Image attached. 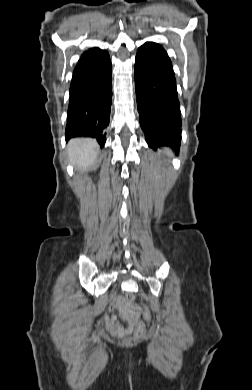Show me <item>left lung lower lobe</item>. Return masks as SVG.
I'll use <instances>...</instances> for the list:
<instances>
[{"mask_svg":"<svg viewBox=\"0 0 252 390\" xmlns=\"http://www.w3.org/2000/svg\"><path fill=\"white\" fill-rule=\"evenodd\" d=\"M135 90L139 120L149 147L178 150L181 111L172 62L157 43L146 42L135 58Z\"/></svg>","mask_w":252,"mask_h":390,"instance_id":"1","label":"left lung lower lobe"}]
</instances>
